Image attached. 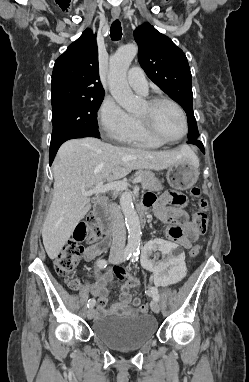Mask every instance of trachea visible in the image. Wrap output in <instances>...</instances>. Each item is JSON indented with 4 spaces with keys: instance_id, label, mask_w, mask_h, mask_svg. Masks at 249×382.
Listing matches in <instances>:
<instances>
[{
    "instance_id": "trachea-1",
    "label": "trachea",
    "mask_w": 249,
    "mask_h": 382,
    "mask_svg": "<svg viewBox=\"0 0 249 382\" xmlns=\"http://www.w3.org/2000/svg\"><path fill=\"white\" fill-rule=\"evenodd\" d=\"M110 37L113 41H118L122 37V27L119 20H115L110 28Z\"/></svg>"
}]
</instances>
